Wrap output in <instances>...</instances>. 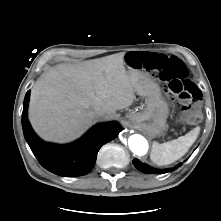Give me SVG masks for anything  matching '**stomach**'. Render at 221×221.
Returning <instances> with one entry per match:
<instances>
[{
	"mask_svg": "<svg viewBox=\"0 0 221 221\" xmlns=\"http://www.w3.org/2000/svg\"><path fill=\"white\" fill-rule=\"evenodd\" d=\"M125 62L128 64V73L130 75H137V93L145 97V108L140 112L130 111L127 113L126 118L151 138L162 135L167 128L166 121L170 109L167 101L162 96L159 85L149 76L133 68L129 64L127 56L125 57Z\"/></svg>",
	"mask_w": 221,
	"mask_h": 221,
	"instance_id": "1",
	"label": "stomach"
}]
</instances>
